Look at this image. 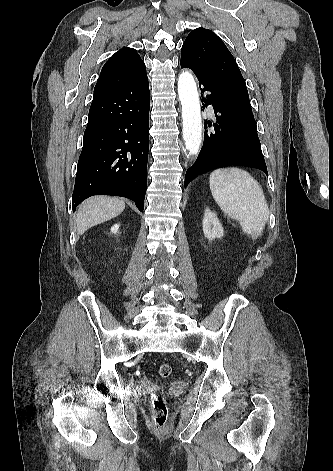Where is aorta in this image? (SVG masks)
Here are the masks:
<instances>
[{"mask_svg":"<svg viewBox=\"0 0 333 471\" xmlns=\"http://www.w3.org/2000/svg\"><path fill=\"white\" fill-rule=\"evenodd\" d=\"M178 94L182 105L185 147L189 155H195L202 139V119L196 83L188 71H183L179 75Z\"/></svg>","mask_w":333,"mask_h":471,"instance_id":"1","label":"aorta"}]
</instances>
